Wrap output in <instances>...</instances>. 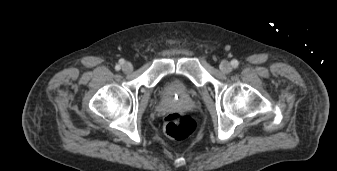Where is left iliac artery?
Returning a JSON list of instances; mask_svg holds the SVG:
<instances>
[{"label":"left iliac artery","instance_id":"44dca946","mask_svg":"<svg viewBox=\"0 0 337 171\" xmlns=\"http://www.w3.org/2000/svg\"><path fill=\"white\" fill-rule=\"evenodd\" d=\"M231 65H232L234 68H236V67H238L239 62H238L236 59H234V60L231 61Z\"/></svg>","mask_w":337,"mask_h":171}]
</instances>
